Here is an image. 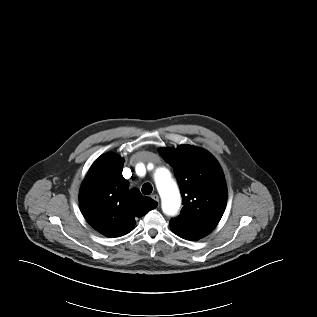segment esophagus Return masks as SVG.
Listing matches in <instances>:
<instances>
[{"label":"esophagus","mask_w":317,"mask_h":317,"mask_svg":"<svg viewBox=\"0 0 317 317\" xmlns=\"http://www.w3.org/2000/svg\"><path fill=\"white\" fill-rule=\"evenodd\" d=\"M151 198L155 200L156 202H159V196L157 194H153Z\"/></svg>","instance_id":"esophagus-1"}]
</instances>
